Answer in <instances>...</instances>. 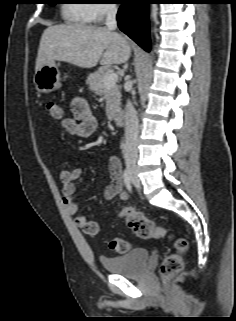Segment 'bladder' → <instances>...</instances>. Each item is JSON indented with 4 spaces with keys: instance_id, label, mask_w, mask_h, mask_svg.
<instances>
[{
    "instance_id": "bladder-1",
    "label": "bladder",
    "mask_w": 236,
    "mask_h": 321,
    "mask_svg": "<svg viewBox=\"0 0 236 321\" xmlns=\"http://www.w3.org/2000/svg\"><path fill=\"white\" fill-rule=\"evenodd\" d=\"M149 259V252L146 248H135L123 255L115 257H101L103 267L113 273L125 277L139 276Z\"/></svg>"
}]
</instances>
